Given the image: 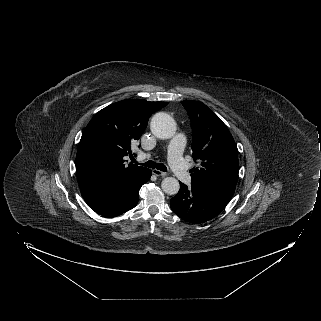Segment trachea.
<instances>
[{"instance_id": "obj_1", "label": "trachea", "mask_w": 321, "mask_h": 321, "mask_svg": "<svg viewBox=\"0 0 321 321\" xmlns=\"http://www.w3.org/2000/svg\"><path fill=\"white\" fill-rule=\"evenodd\" d=\"M132 161L134 163H136V160L133 158ZM143 166H146V167H149V168H156L160 171H164L166 172L167 171V168L164 164H160V163H155L153 161H147L145 163H142Z\"/></svg>"}]
</instances>
